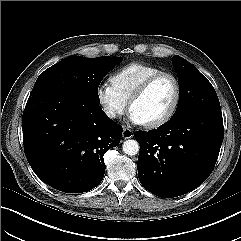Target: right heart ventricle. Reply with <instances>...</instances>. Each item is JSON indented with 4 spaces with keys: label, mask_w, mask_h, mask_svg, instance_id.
I'll use <instances>...</instances> for the list:
<instances>
[{
    "label": "right heart ventricle",
    "mask_w": 241,
    "mask_h": 241,
    "mask_svg": "<svg viewBox=\"0 0 241 241\" xmlns=\"http://www.w3.org/2000/svg\"><path fill=\"white\" fill-rule=\"evenodd\" d=\"M158 72H161V69L156 66L134 62L117 70L110 77V82L117 92L129 102L137 88L147 78Z\"/></svg>",
    "instance_id": "1"
}]
</instances>
